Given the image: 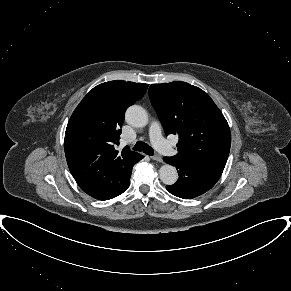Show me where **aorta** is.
<instances>
[{
	"label": "aorta",
	"instance_id": "aorta-1",
	"mask_svg": "<svg viewBox=\"0 0 291 291\" xmlns=\"http://www.w3.org/2000/svg\"><path fill=\"white\" fill-rule=\"evenodd\" d=\"M127 123L134 127H144L148 124V114L146 110L139 105L130 106L125 114ZM159 177L166 185H173L178 179V173L175 167L165 164L159 169Z\"/></svg>",
	"mask_w": 291,
	"mask_h": 291
}]
</instances>
